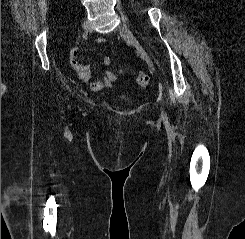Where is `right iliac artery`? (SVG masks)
Here are the masks:
<instances>
[{"label":"right iliac artery","instance_id":"right-iliac-artery-1","mask_svg":"<svg viewBox=\"0 0 245 239\" xmlns=\"http://www.w3.org/2000/svg\"><path fill=\"white\" fill-rule=\"evenodd\" d=\"M87 37H88V31H85V32L82 34V38H83L84 40H86Z\"/></svg>","mask_w":245,"mask_h":239}]
</instances>
